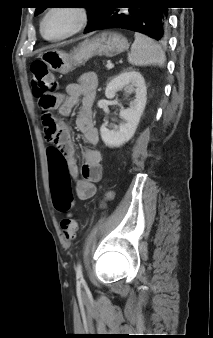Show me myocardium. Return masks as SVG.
<instances>
[{
	"label": "myocardium",
	"instance_id": "obj_1",
	"mask_svg": "<svg viewBox=\"0 0 213 338\" xmlns=\"http://www.w3.org/2000/svg\"><path fill=\"white\" fill-rule=\"evenodd\" d=\"M58 9H67V10L72 11L77 17L76 25L73 27V29H71L69 32L63 35H60L57 37H48L44 33V25H45L46 19L52 12ZM88 20H89V13L85 7H76V6L53 7V8H49L44 13L41 19V22H40V32H41L42 37L46 41H51V42L61 41V40L70 38L78 34L80 31H82L87 26Z\"/></svg>",
	"mask_w": 213,
	"mask_h": 338
}]
</instances>
